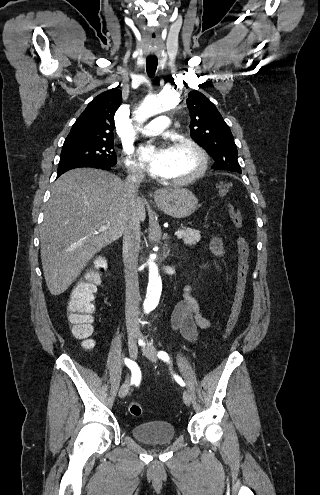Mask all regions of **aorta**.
I'll list each match as a JSON object with an SVG mask.
<instances>
[{"instance_id":"obj_1","label":"aorta","mask_w":320,"mask_h":495,"mask_svg":"<svg viewBox=\"0 0 320 495\" xmlns=\"http://www.w3.org/2000/svg\"><path fill=\"white\" fill-rule=\"evenodd\" d=\"M179 102L178 93L173 90L165 89L158 96L146 97L141 105L134 111V118L140 126L150 117L177 107ZM153 237L157 244L160 243L161 232L159 228H154ZM144 263L149 268V282L144 309L149 313L154 310L159 303L162 292V280L155 264L153 252L145 254Z\"/></svg>"}]
</instances>
